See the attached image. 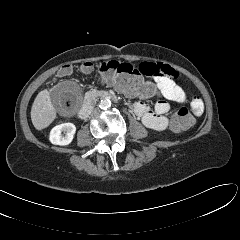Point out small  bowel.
<instances>
[{"label": "small bowel", "instance_id": "c3829d8e", "mask_svg": "<svg viewBox=\"0 0 240 240\" xmlns=\"http://www.w3.org/2000/svg\"><path fill=\"white\" fill-rule=\"evenodd\" d=\"M142 74L154 79L163 99L159 100L154 109L144 102L138 101L133 105L134 113L148 128L162 131L168 127L167 113L170 103L188 104L195 116L202 115L203 101L199 97L189 99L185 90L176 82L178 73L169 65L163 63L143 62L139 66Z\"/></svg>", "mask_w": 240, "mask_h": 240}]
</instances>
